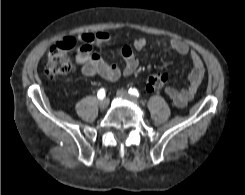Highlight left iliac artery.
Returning a JSON list of instances; mask_svg holds the SVG:
<instances>
[{
  "label": "left iliac artery",
  "mask_w": 245,
  "mask_h": 195,
  "mask_svg": "<svg viewBox=\"0 0 245 195\" xmlns=\"http://www.w3.org/2000/svg\"><path fill=\"white\" fill-rule=\"evenodd\" d=\"M129 94H130V95H133V96H136V97H139V92H138V90L135 89V88H130V89H129Z\"/></svg>",
  "instance_id": "1"
}]
</instances>
